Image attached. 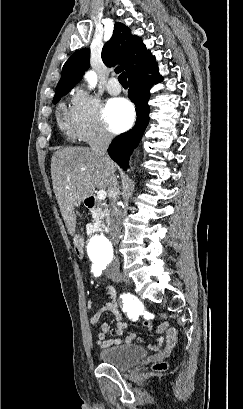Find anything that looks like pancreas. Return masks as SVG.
Masks as SVG:
<instances>
[{"instance_id": "1", "label": "pancreas", "mask_w": 243, "mask_h": 409, "mask_svg": "<svg viewBox=\"0 0 243 409\" xmlns=\"http://www.w3.org/2000/svg\"><path fill=\"white\" fill-rule=\"evenodd\" d=\"M106 214L105 210H102L101 208H97L92 212V218L96 221H99L101 217H104Z\"/></svg>"}]
</instances>
